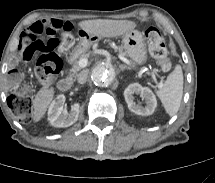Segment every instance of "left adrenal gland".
I'll return each mask as SVG.
<instances>
[{
  "mask_svg": "<svg viewBox=\"0 0 215 183\" xmlns=\"http://www.w3.org/2000/svg\"><path fill=\"white\" fill-rule=\"evenodd\" d=\"M119 67H120V69L123 71V70H125V69H130L129 67H127V66H125V65H119Z\"/></svg>",
  "mask_w": 215,
  "mask_h": 183,
  "instance_id": "1",
  "label": "left adrenal gland"
}]
</instances>
